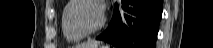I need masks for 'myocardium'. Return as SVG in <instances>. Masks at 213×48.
I'll use <instances>...</instances> for the list:
<instances>
[{
    "instance_id": "f54148a6",
    "label": "myocardium",
    "mask_w": 213,
    "mask_h": 48,
    "mask_svg": "<svg viewBox=\"0 0 213 48\" xmlns=\"http://www.w3.org/2000/svg\"><path fill=\"white\" fill-rule=\"evenodd\" d=\"M84 2L95 3L101 9L100 22L93 29H86V28L82 27L80 25V23L77 21V19L75 18V15H74L75 10ZM68 21H69V24L71 25V27L81 36L84 37V36L93 35V34L99 32L105 25V22H106L105 6L102 3V1H99V0H73L71 5H70L69 11H68Z\"/></svg>"
}]
</instances>
